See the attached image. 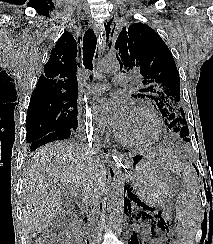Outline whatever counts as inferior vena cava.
<instances>
[{"mask_svg": "<svg viewBox=\"0 0 213 244\" xmlns=\"http://www.w3.org/2000/svg\"><path fill=\"white\" fill-rule=\"evenodd\" d=\"M90 150H91V149H90ZM91 151H93V150H91ZM93 203H94L93 200H91V199H86L84 205H85L86 209H88V207H89V206H92ZM89 213H90V212H89Z\"/></svg>", "mask_w": 213, "mask_h": 244, "instance_id": "inferior-vena-cava-1", "label": "inferior vena cava"}]
</instances>
